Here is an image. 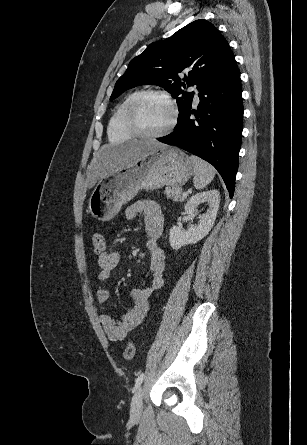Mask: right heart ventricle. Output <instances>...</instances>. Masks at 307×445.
I'll list each match as a JSON object with an SVG mask.
<instances>
[{
	"mask_svg": "<svg viewBox=\"0 0 307 445\" xmlns=\"http://www.w3.org/2000/svg\"><path fill=\"white\" fill-rule=\"evenodd\" d=\"M141 94L140 91L133 92L113 113L108 125V135L111 140H133L128 113L132 102Z\"/></svg>",
	"mask_w": 307,
	"mask_h": 445,
	"instance_id": "obj_1",
	"label": "right heart ventricle"
}]
</instances>
